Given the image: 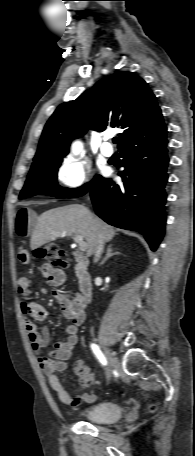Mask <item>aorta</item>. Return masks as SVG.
Instances as JSON below:
<instances>
[{"label": "aorta", "mask_w": 195, "mask_h": 456, "mask_svg": "<svg viewBox=\"0 0 195 456\" xmlns=\"http://www.w3.org/2000/svg\"><path fill=\"white\" fill-rule=\"evenodd\" d=\"M82 149V143L79 142V141H76L73 143L72 145V153L73 154H78L80 152V150Z\"/></svg>", "instance_id": "762f6f07"}]
</instances>
